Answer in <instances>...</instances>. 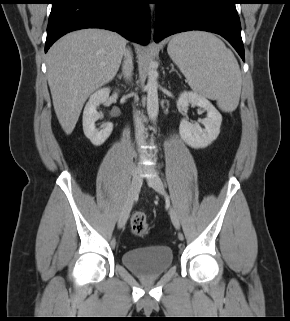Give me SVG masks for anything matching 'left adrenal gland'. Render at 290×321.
Segmentation results:
<instances>
[{"label":"left adrenal gland","instance_id":"left-adrenal-gland-1","mask_svg":"<svg viewBox=\"0 0 290 321\" xmlns=\"http://www.w3.org/2000/svg\"><path fill=\"white\" fill-rule=\"evenodd\" d=\"M173 71H175L176 73H177V71L175 70V68H174V65L173 64H171V70H170V73L171 72H173Z\"/></svg>","mask_w":290,"mask_h":321}]
</instances>
